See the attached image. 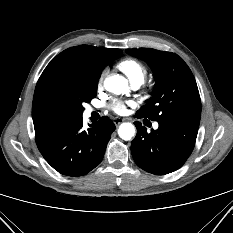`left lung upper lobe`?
<instances>
[{
    "instance_id": "5c2ea615",
    "label": "left lung upper lobe",
    "mask_w": 233,
    "mask_h": 233,
    "mask_svg": "<svg viewBox=\"0 0 233 233\" xmlns=\"http://www.w3.org/2000/svg\"><path fill=\"white\" fill-rule=\"evenodd\" d=\"M126 52L146 61L156 78L154 94L137 111V117L157 122L172 119L200 122L201 100L197 84L181 57L150 48L126 49Z\"/></svg>"
}]
</instances>
